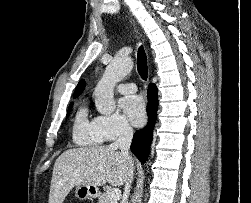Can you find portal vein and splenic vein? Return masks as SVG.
I'll return each instance as SVG.
<instances>
[{
  "label": "portal vein and splenic vein",
  "instance_id": "18ae733b",
  "mask_svg": "<svg viewBox=\"0 0 251 203\" xmlns=\"http://www.w3.org/2000/svg\"><path fill=\"white\" fill-rule=\"evenodd\" d=\"M108 196L117 203L121 197V191L118 188L113 189L112 191L108 192Z\"/></svg>",
  "mask_w": 251,
  "mask_h": 203
}]
</instances>
